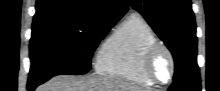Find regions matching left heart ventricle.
<instances>
[{
    "instance_id": "b2bd125f",
    "label": "left heart ventricle",
    "mask_w": 220,
    "mask_h": 91,
    "mask_svg": "<svg viewBox=\"0 0 220 91\" xmlns=\"http://www.w3.org/2000/svg\"><path fill=\"white\" fill-rule=\"evenodd\" d=\"M154 72L156 76L166 81L170 74V62L168 56L164 52H160L154 61Z\"/></svg>"
}]
</instances>
